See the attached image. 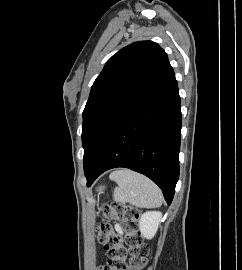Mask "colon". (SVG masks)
I'll return each instance as SVG.
<instances>
[{"label": "colon", "instance_id": "1", "mask_svg": "<svg viewBox=\"0 0 242 270\" xmlns=\"http://www.w3.org/2000/svg\"><path fill=\"white\" fill-rule=\"evenodd\" d=\"M100 213L105 220L116 219L123 224V235L113 231L107 222L98 228V240L107 251L108 260L98 270H143L147 264L149 248L139 231L137 209L113 203L101 208Z\"/></svg>", "mask_w": 242, "mask_h": 270}]
</instances>
